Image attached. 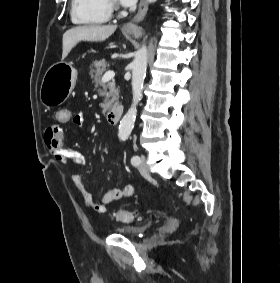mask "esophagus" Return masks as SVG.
<instances>
[{
	"instance_id": "1",
	"label": "esophagus",
	"mask_w": 280,
	"mask_h": 283,
	"mask_svg": "<svg viewBox=\"0 0 280 283\" xmlns=\"http://www.w3.org/2000/svg\"><path fill=\"white\" fill-rule=\"evenodd\" d=\"M148 10L147 0H141L139 4V9L135 17L123 26L124 30H135L137 29V24L143 20Z\"/></svg>"
}]
</instances>
